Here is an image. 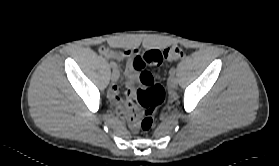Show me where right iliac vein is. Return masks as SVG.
<instances>
[{
    "label": "right iliac vein",
    "instance_id": "63e3f726",
    "mask_svg": "<svg viewBox=\"0 0 279 166\" xmlns=\"http://www.w3.org/2000/svg\"><path fill=\"white\" fill-rule=\"evenodd\" d=\"M111 79L113 82H115L119 79V72L116 69L113 70V72L111 74Z\"/></svg>",
    "mask_w": 279,
    "mask_h": 166
}]
</instances>
